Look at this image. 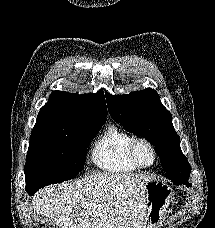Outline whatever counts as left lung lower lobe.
I'll return each instance as SVG.
<instances>
[{"mask_svg": "<svg viewBox=\"0 0 215 228\" xmlns=\"http://www.w3.org/2000/svg\"><path fill=\"white\" fill-rule=\"evenodd\" d=\"M175 185H181V184H187V186H191V184H188V180H182V181H173Z\"/></svg>", "mask_w": 215, "mask_h": 228, "instance_id": "left-lung-lower-lobe-1", "label": "left lung lower lobe"}]
</instances>
